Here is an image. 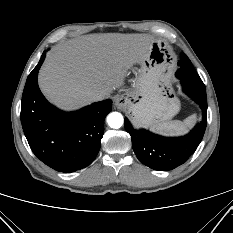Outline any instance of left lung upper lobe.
<instances>
[{
    "mask_svg": "<svg viewBox=\"0 0 233 233\" xmlns=\"http://www.w3.org/2000/svg\"><path fill=\"white\" fill-rule=\"evenodd\" d=\"M189 69L192 72L193 78L191 79V83L195 84V85H199V86H205L204 83L202 82V80L200 79V77L198 76L197 72L195 71L193 65L191 62H189Z\"/></svg>",
    "mask_w": 233,
    "mask_h": 233,
    "instance_id": "left-lung-upper-lobe-1",
    "label": "left lung upper lobe"
}]
</instances>
